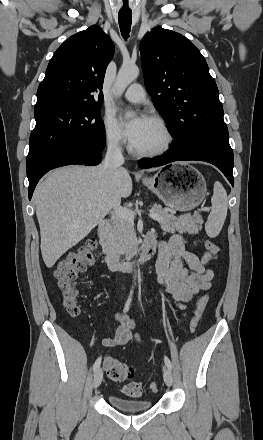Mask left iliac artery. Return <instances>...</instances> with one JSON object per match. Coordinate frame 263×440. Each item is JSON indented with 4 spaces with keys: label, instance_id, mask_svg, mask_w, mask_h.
I'll list each match as a JSON object with an SVG mask.
<instances>
[{
    "label": "left iliac artery",
    "instance_id": "obj_1",
    "mask_svg": "<svg viewBox=\"0 0 263 440\" xmlns=\"http://www.w3.org/2000/svg\"><path fill=\"white\" fill-rule=\"evenodd\" d=\"M164 362H165L166 366H167L169 369H171L172 365H171V362H170V360H169L168 357H166V356L164 357Z\"/></svg>",
    "mask_w": 263,
    "mask_h": 440
}]
</instances>
